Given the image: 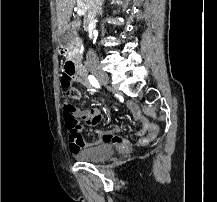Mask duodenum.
Instances as JSON below:
<instances>
[{"label":"duodenum","instance_id":"obj_1","mask_svg":"<svg viewBox=\"0 0 217 202\" xmlns=\"http://www.w3.org/2000/svg\"><path fill=\"white\" fill-rule=\"evenodd\" d=\"M60 53L66 57L64 69L68 76L81 83L82 85L90 87L91 85L87 78L86 69L81 64L78 56L72 55L71 50L66 46L60 47Z\"/></svg>","mask_w":217,"mask_h":202}]
</instances>
